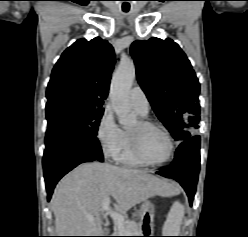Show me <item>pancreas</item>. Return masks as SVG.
<instances>
[{
  "label": "pancreas",
  "instance_id": "pancreas-1",
  "mask_svg": "<svg viewBox=\"0 0 248 237\" xmlns=\"http://www.w3.org/2000/svg\"><path fill=\"white\" fill-rule=\"evenodd\" d=\"M142 232L141 224L133 220H124L122 227H118L117 236H139Z\"/></svg>",
  "mask_w": 248,
  "mask_h": 237
}]
</instances>
